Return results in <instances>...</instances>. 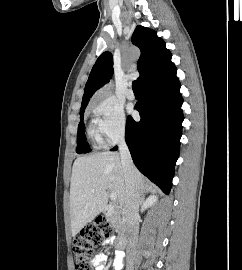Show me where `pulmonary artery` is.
Segmentation results:
<instances>
[{"label": "pulmonary artery", "mask_w": 242, "mask_h": 270, "mask_svg": "<svg viewBox=\"0 0 242 270\" xmlns=\"http://www.w3.org/2000/svg\"><path fill=\"white\" fill-rule=\"evenodd\" d=\"M126 96L128 99L133 100L135 98V93L131 88H129L126 92Z\"/></svg>", "instance_id": "obj_1"}]
</instances>
